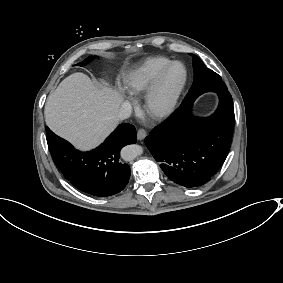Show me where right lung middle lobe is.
I'll return each mask as SVG.
<instances>
[{
  "mask_svg": "<svg viewBox=\"0 0 283 283\" xmlns=\"http://www.w3.org/2000/svg\"><path fill=\"white\" fill-rule=\"evenodd\" d=\"M91 60H92V57H88V58H86L83 62L78 63L77 65H78V66H84V65H86L87 63H89Z\"/></svg>",
  "mask_w": 283,
  "mask_h": 283,
  "instance_id": "obj_1",
  "label": "right lung middle lobe"
}]
</instances>
